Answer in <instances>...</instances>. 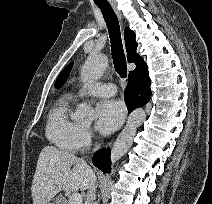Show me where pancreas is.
Segmentation results:
<instances>
[{
  "instance_id": "pancreas-1",
  "label": "pancreas",
  "mask_w": 212,
  "mask_h": 204,
  "mask_svg": "<svg viewBox=\"0 0 212 204\" xmlns=\"http://www.w3.org/2000/svg\"><path fill=\"white\" fill-rule=\"evenodd\" d=\"M63 204H71V202H70V201H68V202H64Z\"/></svg>"
}]
</instances>
